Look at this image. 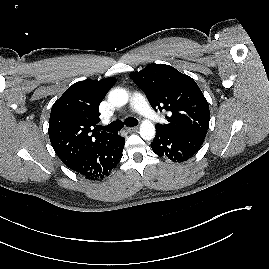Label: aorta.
I'll return each mask as SVG.
<instances>
[{"instance_id": "762f6f07", "label": "aorta", "mask_w": 269, "mask_h": 269, "mask_svg": "<svg viewBox=\"0 0 269 269\" xmlns=\"http://www.w3.org/2000/svg\"><path fill=\"white\" fill-rule=\"evenodd\" d=\"M129 96L125 89L116 88L108 95L109 102L117 107H121L128 102ZM140 136L144 140H151L155 137V126L149 120H144L140 126Z\"/></svg>"}]
</instances>
